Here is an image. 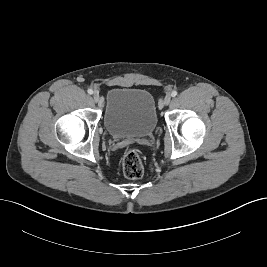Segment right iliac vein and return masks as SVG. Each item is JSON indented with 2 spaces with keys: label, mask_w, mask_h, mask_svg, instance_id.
Returning a JSON list of instances; mask_svg holds the SVG:
<instances>
[{
  "label": "right iliac vein",
  "mask_w": 267,
  "mask_h": 267,
  "mask_svg": "<svg viewBox=\"0 0 267 267\" xmlns=\"http://www.w3.org/2000/svg\"><path fill=\"white\" fill-rule=\"evenodd\" d=\"M93 99H94L95 102L99 101V94L97 92H94Z\"/></svg>",
  "instance_id": "right-iliac-vein-1"
}]
</instances>
